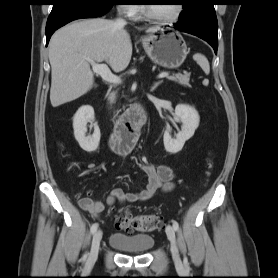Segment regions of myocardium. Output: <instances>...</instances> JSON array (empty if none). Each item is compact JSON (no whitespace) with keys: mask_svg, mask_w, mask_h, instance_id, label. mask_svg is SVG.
Wrapping results in <instances>:
<instances>
[{"mask_svg":"<svg viewBox=\"0 0 278 278\" xmlns=\"http://www.w3.org/2000/svg\"><path fill=\"white\" fill-rule=\"evenodd\" d=\"M144 12H145L146 17L149 20L154 21L159 24L169 25V24H173V23L177 22L181 18L182 14L184 12V6L181 3L177 4L176 13L170 18H161V17L156 16L155 14L152 13L149 5H144Z\"/></svg>","mask_w":278,"mask_h":278,"instance_id":"myocardium-1","label":"myocardium"}]
</instances>
